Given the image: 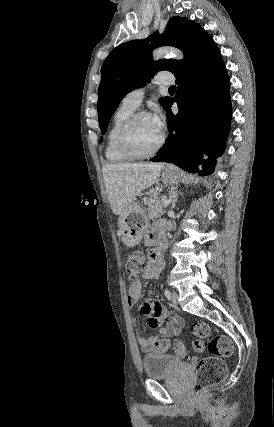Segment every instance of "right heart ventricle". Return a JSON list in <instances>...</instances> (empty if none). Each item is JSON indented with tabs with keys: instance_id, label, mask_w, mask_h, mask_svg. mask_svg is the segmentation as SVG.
<instances>
[{
	"instance_id": "e07e8e85",
	"label": "right heart ventricle",
	"mask_w": 274,
	"mask_h": 427,
	"mask_svg": "<svg viewBox=\"0 0 274 427\" xmlns=\"http://www.w3.org/2000/svg\"><path fill=\"white\" fill-rule=\"evenodd\" d=\"M134 111L120 106L113 116L105 139V157L112 164H124L130 161L118 146V135L123 124L134 114Z\"/></svg>"
}]
</instances>
